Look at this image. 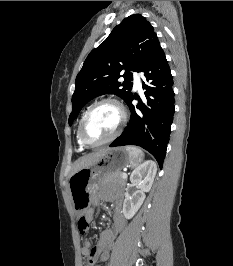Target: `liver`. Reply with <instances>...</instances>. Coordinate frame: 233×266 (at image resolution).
<instances>
[{"label":"liver","mask_w":233,"mask_h":266,"mask_svg":"<svg viewBox=\"0 0 233 266\" xmlns=\"http://www.w3.org/2000/svg\"><path fill=\"white\" fill-rule=\"evenodd\" d=\"M108 149H101L98 150L96 152L84 155L82 157H80L73 166L72 169V173L71 175H73L74 173H76L77 171L89 167L91 165H93L94 163H96L97 161H99V159L107 152Z\"/></svg>","instance_id":"1"}]
</instances>
